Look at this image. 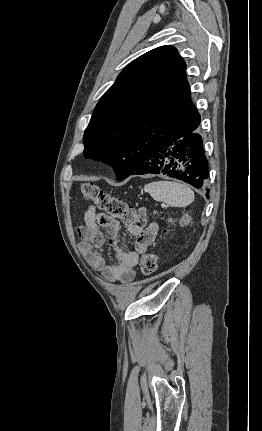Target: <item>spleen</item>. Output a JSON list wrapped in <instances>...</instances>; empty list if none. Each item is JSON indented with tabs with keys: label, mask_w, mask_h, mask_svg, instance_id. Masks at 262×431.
<instances>
[{
	"label": "spleen",
	"mask_w": 262,
	"mask_h": 431,
	"mask_svg": "<svg viewBox=\"0 0 262 431\" xmlns=\"http://www.w3.org/2000/svg\"><path fill=\"white\" fill-rule=\"evenodd\" d=\"M156 201L165 202L172 207H186L194 201V192L186 185L171 181H156L145 185Z\"/></svg>",
	"instance_id": "1"
}]
</instances>
